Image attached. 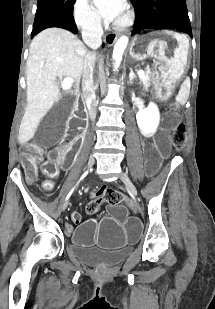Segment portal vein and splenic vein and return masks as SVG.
<instances>
[{
  "mask_svg": "<svg viewBox=\"0 0 215 309\" xmlns=\"http://www.w3.org/2000/svg\"><path fill=\"white\" fill-rule=\"evenodd\" d=\"M137 74L139 78H143V80H145V70H138ZM63 84H65V86H72L73 78H63Z\"/></svg>",
  "mask_w": 215,
  "mask_h": 309,
  "instance_id": "18ae733b",
  "label": "portal vein and splenic vein"
}]
</instances>
